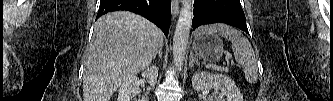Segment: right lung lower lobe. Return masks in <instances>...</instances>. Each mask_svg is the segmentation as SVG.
Returning <instances> with one entry per match:
<instances>
[{
  "mask_svg": "<svg viewBox=\"0 0 333 101\" xmlns=\"http://www.w3.org/2000/svg\"><path fill=\"white\" fill-rule=\"evenodd\" d=\"M170 3L171 0H100L96 19L112 11L134 12L156 24L167 37L170 26Z\"/></svg>",
  "mask_w": 333,
  "mask_h": 101,
  "instance_id": "98d812e1",
  "label": "right lung lower lobe"
}]
</instances>
